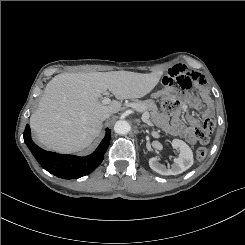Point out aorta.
Here are the masks:
<instances>
[{
	"label": "aorta",
	"mask_w": 245,
	"mask_h": 245,
	"mask_svg": "<svg viewBox=\"0 0 245 245\" xmlns=\"http://www.w3.org/2000/svg\"><path fill=\"white\" fill-rule=\"evenodd\" d=\"M131 130L130 124L125 120H119L114 125V131L117 134L125 135Z\"/></svg>",
	"instance_id": "762f6f07"
}]
</instances>
